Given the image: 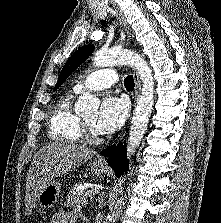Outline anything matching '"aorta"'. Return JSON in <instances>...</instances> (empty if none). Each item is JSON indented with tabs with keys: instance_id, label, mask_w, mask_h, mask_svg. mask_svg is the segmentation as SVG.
<instances>
[{
	"instance_id": "obj_1",
	"label": "aorta",
	"mask_w": 221,
	"mask_h": 223,
	"mask_svg": "<svg viewBox=\"0 0 221 223\" xmlns=\"http://www.w3.org/2000/svg\"><path fill=\"white\" fill-rule=\"evenodd\" d=\"M125 64L133 66L142 80V92L132 118L128 138V156L130 158L143 138L153 109L154 79L152 71L142 57L130 50L115 48L100 50L93 58V65L96 67ZM99 104L100 101L96 96L83 93L75 104V111L79 113L95 112Z\"/></svg>"
}]
</instances>
